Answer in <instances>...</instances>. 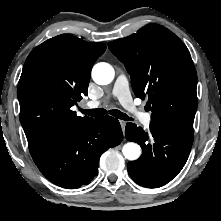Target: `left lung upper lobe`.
I'll return each mask as SVG.
<instances>
[{
  "label": "left lung upper lobe",
  "instance_id": "1",
  "mask_svg": "<svg viewBox=\"0 0 221 221\" xmlns=\"http://www.w3.org/2000/svg\"><path fill=\"white\" fill-rule=\"evenodd\" d=\"M108 47L124 63L135 95L148 97L151 122L193 136L197 74L185 44L167 28L150 24Z\"/></svg>",
  "mask_w": 221,
  "mask_h": 221
}]
</instances>
